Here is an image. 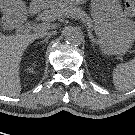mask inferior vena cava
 <instances>
[{
    "label": "inferior vena cava",
    "instance_id": "1",
    "mask_svg": "<svg viewBox=\"0 0 135 135\" xmlns=\"http://www.w3.org/2000/svg\"><path fill=\"white\" fill-rule=\"evenodd\" d=\"M55 34H56V31H53V32H47V31H45V32L39 33V37H45V36L50 37V36L55 35Z\"/></svg>",
    "mask_w": 135,
    "mask_h": 135
}]
</instances>
